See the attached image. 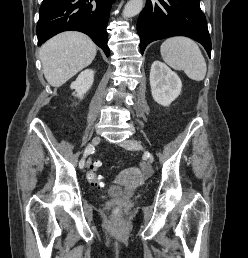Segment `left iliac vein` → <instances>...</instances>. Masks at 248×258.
<instances>
[{"instance_id": "obj_1", "label": "left iliac vein", "mask_w": 248, "mask_h": 258, "mask_svg": "<svg viewBox=\"0 0 248 258\" xmlns=\"http://www.w3.org/2000/svg\"><path fill=\"white\" fill-rule=\"evenodd\" d=\"M121 146L128 150H137V151L143 150L141 143L136 140H125L121 143ZM145 155L148 159V162L152 164L154 162L153 155L150 154L149 152H145Z\"/></svg>"}]
</instances>
